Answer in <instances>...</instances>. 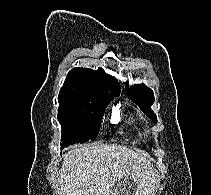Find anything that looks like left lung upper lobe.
I'll return each instance as SVG.
<instances>
[{"mask_svg": "<svg viewBox=\"0 0 211 195\" xmlns=\"http://www.w3.org/2000/svg\"><path fill=\"white\" fill-rule=\"evenodd\" d=\"M128 81L125 83L126 92L132 99L154 122H157L155 113L151 110L154 103L153 91L144 84H137L132 88H128Z\"/></svg>", "mask_w": 211, "mask_h": 195, "instance_id": "5c2ea615", "label": "left lung upper lobe"}]
</instances>
